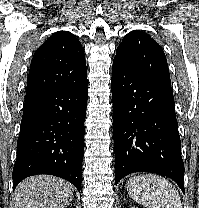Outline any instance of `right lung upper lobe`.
<instances>
[{"mask_svg":"<svg viewBox=\"0 0 199 208\" xmlns=\"http://www.w3.org/2000/svg\"><path fill=\"white\" fill-rule=\"evenodd\" d=\"M86 77L83 47L72 33L60 31L36 50L27 78L26 95L69 86Z\"/></svg>","mask_w":199,"mask_h":208,"instance_id":"right-lung-upper-lobe-1","label":"right lung upper lobe"}]
</instances>
